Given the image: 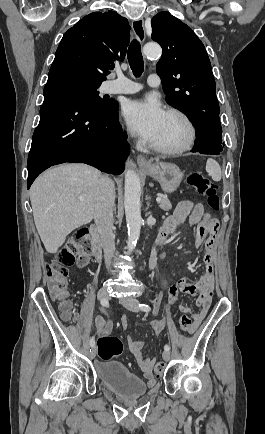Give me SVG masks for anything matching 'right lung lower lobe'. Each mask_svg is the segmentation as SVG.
<instances>
[{
    "instance_id": "1",
    "label": "right lung lower lobe",
    "mask_w": 265,
    "mask_h": 434,
    "mask_svg": "<svg viewBox=\"0 0 265 434\" xmlns=\"http://www.w3.org/2000/svg\"><path fill=\"white\" fill-rule=\"evenodd\" d=\"M129 150L118 122V104L110 111H95L70 87L46 85L28 155L27 188L45 169L65 162L119 175Z\"/></svg>"
}]
</instances>
